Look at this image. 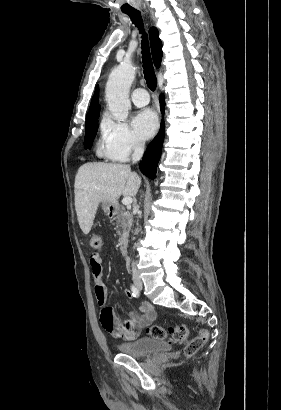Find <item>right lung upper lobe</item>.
<instances>
[{
  "label": "right lung upper lobe",
  "mask_w": 281,
  "mask_h": 410,
  "mask_svg": "<svg viewBox=\"0 0 281 410\" xmlns=\"http://www.w3.org/2000/svg\"><path fill=\"white\" fill-rule=\"evenodd\" d=\"M149 34H150L153 61H154L155 66L159 67L161 64V59H162V43H161V40L159 39V33L155 27H152L149 30ZM98 101H99V90L97 87L94 93V96L92 98L89 112L86 116V120L99 116L100 105L98 104Z\"/></svg>",
  "instance_id": "right-lung-upper-lobe-1"
}]
</instances>
